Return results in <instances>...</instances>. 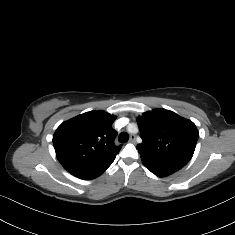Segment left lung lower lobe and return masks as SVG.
Segmentation results:
<instances>
[{
  "label": "left lung lower lobe",
  "mask_w": 235,
  "mask_h": 235,
  "mask_svg": "<svg viewBox=\"0 0 235 235\" xmlns=\"http://www.w3.org/2000/svg\"><path fill=\"white\" fill-rule=\"evenodd\" d=\"M141 160L144 166L158 177L169 176L184 167L183 165L178 163L164 161L149 156L141 155Z\"/></svg>",
  "instance_id": "left-lung-lower-lobe-1"
}]
</instances>
